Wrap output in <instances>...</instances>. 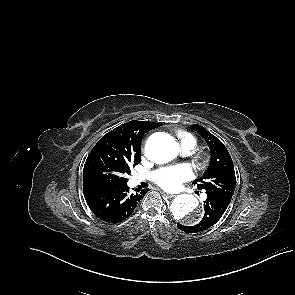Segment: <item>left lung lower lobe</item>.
Wrapping results in <instances>:
<instances>
[{
  "label": "left lung lower lobe",
  "instance_id": "0a47b994",
  "mask_svg": "<svg viewBox=\"0 0 295 295\" xmlns=\"http://www.w3.org/2000/svg\"><path fill=\"white\" fill-rule=\"evenodd\" d=\"M230 201L231 199L227 197L207 195V199L204 202L205 214L200 223L194 226H185L178 223L177 227L188 233L204 231L219 221L226 211Z\"/></svg>",
  "mask_w": 295,
  "mask_h": 295
}]
</instances>
